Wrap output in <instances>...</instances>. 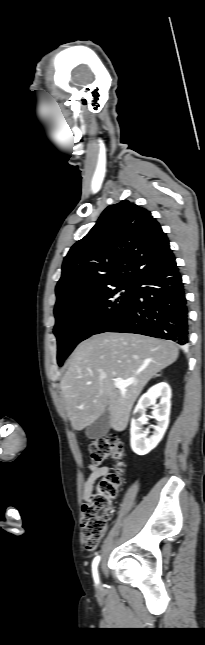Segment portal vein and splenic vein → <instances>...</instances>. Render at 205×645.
I'll list each match as a JSON object with an SVG mask.
<instances>
[{"instance_id":"portal-vein-and-splenic-vein-1","label":"portal vein and splenic vein","mask_w":205,"mask_h":645,"mask_svg":"<svg viewBox=\"0 0 205 645\" xmlns=\"http://www.w3.org/2000/svg\"><path fill=\"white\" fill-rule=\"evenodd\" d=\"M133 383H134V380H123L121 378L114 379L115 387L118 389H124Z\"/></svg>"}]
</instances>
